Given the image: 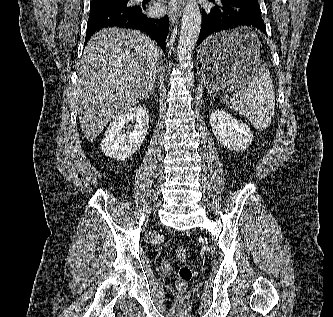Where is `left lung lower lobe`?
<instances>
[{"label":"left lung lower lobe","mask_w":333,"mask_h":317,"mask_svg":"<svg viewBox=\"0 0 333 317\" xmlns=\"http://www.w3.org/2000/svg\"><path fill=\"white\" fill-rule=\"evenodd\" d=\"M215 5L211 9H202V25L197 41L199 46L210 34L231 30L242 26H254L266 34L257 0H209ZM235 51V47L213 46L208 56L222 58Z\"/></svg>","instance_id":"1"}]
</instances>
